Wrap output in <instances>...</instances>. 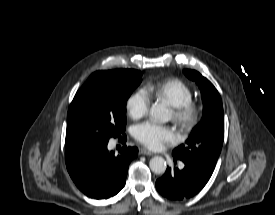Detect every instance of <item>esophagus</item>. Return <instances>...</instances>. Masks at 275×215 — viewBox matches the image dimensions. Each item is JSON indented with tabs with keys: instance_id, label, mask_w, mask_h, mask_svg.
Masks as SVG:
<instances>
[{
	"instance_id": "1",
	"label": "esophagus",
	"mask_w": 275,
	"mask_h": 215,
	"mask_svg": "<svg viewBox=\"0 0 275 215\" xmlns=\"http://www.w3.org/2000/svg\"><path fill=\"white\" fill-rule=\"evenodd\" d=\"M139 153L141 155H149V156L153 155V153L151 151H149L148 149L143 148V147L139 149Z\"/></svg>"
}]
</instances>
